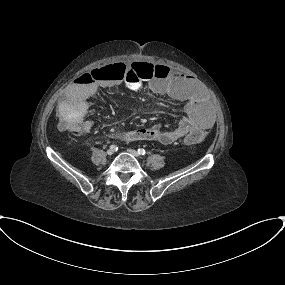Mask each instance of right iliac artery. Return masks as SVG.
Here are the masks:
<instances>
[{
	"instance_id": "right-iliac-artery-1",
	"label": "right iliac artery",
	"mask_w": 285,
	"mask_h": 285,
	"mask_svg": "<svg viewBox=\"0 0 285 285\" xmlns=\"http://www.w3.org/2000/svg\"><path fill=\"white\" fill-rule=\"evenodd\" d=\"M110 149H112V150H118V147L115 146V145H111V146H110Z\"/></svg>"
}]
</instances>
